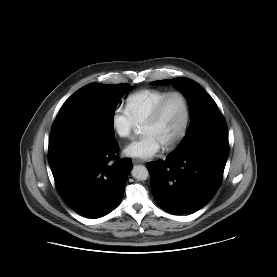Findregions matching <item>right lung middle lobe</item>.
<instances>
[{
    "label": "right lung middle lobe",
    "mask_w": 277,
    "mask_h": 277,
    "mask_svg": "<svg viewBox=\"0 0 277 277\" xmlns=\"http://www.w3.org/2000/svg\"><path fill=\"white\" fill-rule=\"evenodd\" d=\"M129 84L90 83L72 94L62 105L54 124L86 127L105 139L114 140V114Z\"/></svg>",
    "instance_id": "obj_1"
}]
</instances>
